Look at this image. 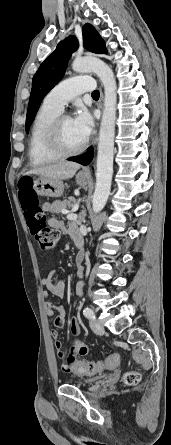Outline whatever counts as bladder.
<instances>
[{
  "label": "bladder",
  "mask_w": 171,
  "mask_h": 445,
  "mask_svg": "<svg viewBox=\"0 0 171 445\" xmlns=\"http://www.w3.org/2000/svg\"><path fill=\"white\" fill-rule=\"evenodd\" d=\"M104 378V374L96 375V376H90V377H83L76 379L77 383L81 386H86L92 383H95L97 381H100Z\"/></svg>",
  "instance_id": "31cf9c89"
}]
</instances>
